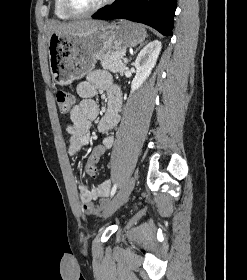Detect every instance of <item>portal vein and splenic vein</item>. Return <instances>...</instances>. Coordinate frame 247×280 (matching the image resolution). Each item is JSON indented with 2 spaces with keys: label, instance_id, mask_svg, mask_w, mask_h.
<instances>
[{
  "label": "portal vein and splenic vein",
  "instance_id": "18ae733b",
  "mask_svg": "<svg viewBox=\"0 0 247 280\" xmlns=\"http://www.w3.org/2000/svg\"><path fill=\"white\" fill-rule=\"evenodd\" d=\"M123 61H124V62H127V58H123Z\"/></svg>",
  "mask_w": 247,
  "mask_h": 280
}]
</instances>
